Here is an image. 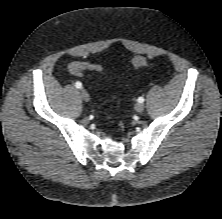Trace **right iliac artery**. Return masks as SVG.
I'll list each match as a JSON object with an SVG mask.
<instances>
[{
    "label": "right iliac artery",
    "mask_w": 222,
    "mask_h": 219,
    "mask_svg": "<svg viewBox=\"0 0 222 219\" xmlns=\"http://www.w3.org/2000/svg\"><path fill=\"white\" fill-rule=\"evenodd\" d=\"M75 86H76V88L80 89V88L82 87V83L79 82V81H77V82L75 83Z\"/></svg>",
    "instance_id": "82829eb1"
}]
</instances>
